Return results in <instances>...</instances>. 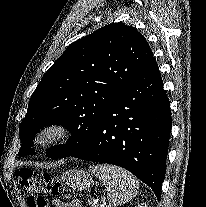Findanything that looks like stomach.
Masks as SVG:
<instances>
[{"label":"stomach","instance_id":"1","mask_svg":"<svg viewBox=\"0 0 206 207\" xmlns=\"http://www.w3.org/2000/svg\"><path fill=\"white\" fill-rule=\"evenodd\" d=\"M61 180L69 187L78 191L88 190L93 185L92 177L87 172L77 169L63 172Z\"/></svg>","mask_w":206,"mask_h":207}]
</instances>
